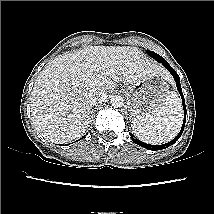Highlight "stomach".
<instances>
[{
	"label": "stomach",
	"mask_w": 214,
	"mask_h": 214,
	"mask_svg": "<svg viewBox=\"0 0 214 214\" xmlns=\"http://www.w3.org/2000/svg\"><path fill=\"white\" fill-rule=\"evenodd\" d=\"M168 89L166 77L162 75H153L127 84L124 93L129 115L137 117L149 114L163 102Z\"/></svg>",
	"instance_id": "stomach-1"
}]
</instances>
